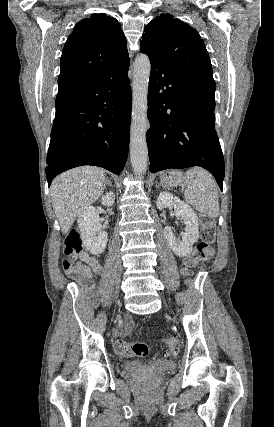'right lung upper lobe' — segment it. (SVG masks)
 <instances>
[{
    "label": "right lung upper lobe",
    "mask_w": 274,
    "mask_h": 427,
    "mask_svg": "<svg viewBox=\"0 0 274 427\" xmlns=\"http://www.w3.org/2000/svg\"><path fill=\"white\" fill-rule=\"evenodd\" d=\"M126 45L115 18L103 13L79 21L62 52L56 98L94 85L128 66Z\"/></svg>",
    "instance_id": "right-lung-upper-lobe-1"
}]
</instances>
